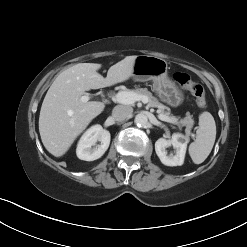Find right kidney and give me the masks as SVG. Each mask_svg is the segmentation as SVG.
I'll return each mask as SVG.
<instances>
[{"label":"right kidney","mask_w":247,"mask_h":247,"mask_svg":"<svg viewBox=\"0 0 247 247\" xmlns=\"http://www.w3.org/2000/svg\"><path fill=\"white\" fill-rule=\"evenodd\" d=\"M110 132L102 128L101 125L90 127L80 138L76 154L77 157L85 161H94L103 156L110 145ZM100 142L97 145V142Z\"/></svg>","instance_id":"ca27d5eb"}]
</instances>
